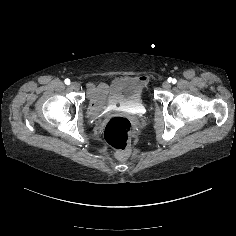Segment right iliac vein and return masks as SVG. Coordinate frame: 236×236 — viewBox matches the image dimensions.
I'll return each instance as SVG.
<instances>
[{
    "mask_svg": "<svg viewBox=\"0 0 236 236\" xmlns=\"http://www.w3.org/2000/svg\"><path fill=\"white\" fill-rule=\"evenodd\" d=\"M70 87L76 91L80 89V85L77 82L71 83Z\"/></svg>",
    "mask_w": 236,
    "mask_h": 236,
    "instance_id": "63e3f726",
    "label": "right iliac vein"
}]
</instances>
